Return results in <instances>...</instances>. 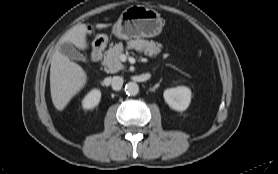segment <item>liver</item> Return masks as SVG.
<instances>
[{
    "label": "liver",
    "mask_w": 278,
    "mask_h": 174,
    "mask_svg": "<svg viewBox=\"0 0 278 174\" xmlns=\"http://www.w3.org/2000/svg\"><path fill=\"white\" fill-rule=\"evenodd\" d=\"M109 24H97L98 29L108 27ZM87 25L77 24L68 30L58 43L56 51L51 59L50 67V91L51 98L55 108L62 111L69 101L86 84L87 74L77 63L62 54L58 47L64 42L74 44L81 50L88 48L87 43Z\"/></svg>",
    "instance_id": "1"
}]
</instances>
